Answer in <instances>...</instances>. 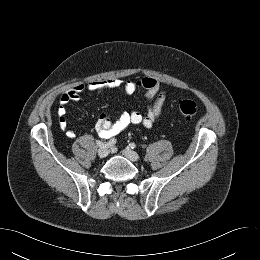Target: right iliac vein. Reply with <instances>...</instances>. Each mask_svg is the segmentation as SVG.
I'll list each match as a JSON object with an SVG mask.
<instances>
[{
    "label": "right iliac vein",
    "mask_w": 260,
    "mask_h": 260,
    "mask_svg": "<svg viewBox=\"0 0 260 260\" xmlns=\"http://www.w3.org/2000/svg\"><path fill=\"white\" fill-rule=\"evenodd\" d=\"M109 154V150L107 148H100L98 150V156L100 158H105Z\"/></svg>",
    "instance_id": "obj_1"
}]
</instances>
